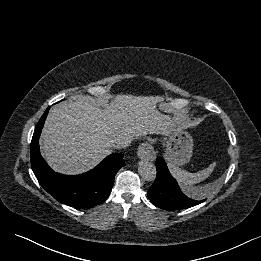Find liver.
I'll use <instances>...</instances> for the list:
<instances>
[{
	"instance_id": "1",
	"label": "liver",
	"mask_w": 261,
	"mask_h": 261,
	"mask_svg": "<svg viewBox=\"0 0 261 261\" xmlns=\"http://www.w3.org/2000/svg\"><path fill=\"white\" fill-rule=\"evenodd\" d=\"M160 96L116 95L100 107L83 97L53 107L40 139L50 167L64 174L86 172L113 151L117 139L169 132L170 117L157 109Z\"/></svg>"
}]
</instances>
